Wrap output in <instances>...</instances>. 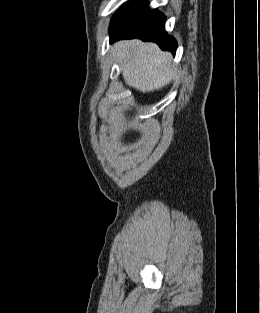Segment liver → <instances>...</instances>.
I'll list each match as a JSON object with an SVG mask.
<instances>
[{
    "mask_svg": "<svg viewBox=\"0 0 260 313\" xmlns=\"http://www.w3.org/2000/svg\"><path fill=\"white\" fill-rule=\"evenodd\" d=\"M125 83L143 93L162 89L176 75L172 55L163 52L155 43L125 40L112 47Z\"/></svg>",
    "mask_w": 260,
    "mask_h": 313,
    "instance_id": "liver-1",
    "label": "liver"
}]
</instances>
